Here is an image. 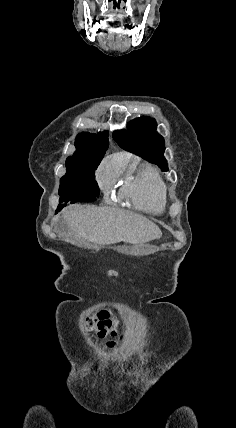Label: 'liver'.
<instances>
[{"instance_id":"6515ba94","label":"liver","mask_w":236,"mask_h":428,"mask_svg":"<svg viewBox=\"0 0 236 428\" xmlns=\"http://www.w3.org/2000/svg\"><path fill=\"white\" fill-rule=\"evenodd\" d=\"M63 218L77 238L95 244H144L162 236L154 222L133 212L70 206L65 210Z\"/></svg>"}]
</instances>
